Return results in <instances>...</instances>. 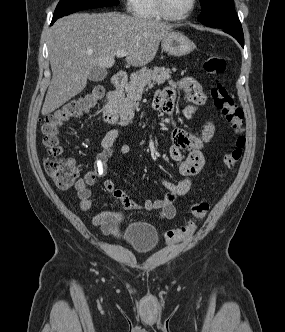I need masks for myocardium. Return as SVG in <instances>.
<instances>
[{"instance_id": "myocardium-1", "label": "myocardium", "mask_w": 285, "mask_h": 332, "mask_svg": "<svg viewBox=\"0 0 285 332\" xmlns=\"http://www.w3.org/2000/svg\"><path fill=\"white\" fill-rule=\"evenodd\" d=\"M155 1H156V6H157V9H158L160 15L164 19H167L170 21H182V20L187 19L193 13V11L195 10L196 5H197V0H191V5H190L189 9L184 14L175 16L169 12V10L167 8L166 0H155Z\"/></svg>"}]
</instances>
